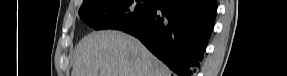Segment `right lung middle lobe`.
<instances>
[{
  "label": "right lung middle lobe",
  "instance_id": "right-lung-middle-lobe-1",
  "mask_svg": "<svg viewBox=\"0 0 287 76\" xmlns=\"http://www.w3.org/2000/svg\"><path fill=\"white\" fill-rule=\"evenodd\" d=\"M154 4L155 0H88L79 14L95 30H122L145 19Z\"/></svg>",
  "mask_w": 287,
  "mask_h": 76
}]
</instances>
